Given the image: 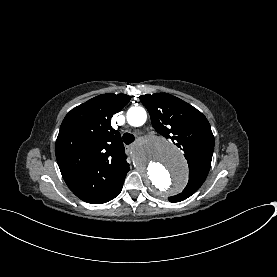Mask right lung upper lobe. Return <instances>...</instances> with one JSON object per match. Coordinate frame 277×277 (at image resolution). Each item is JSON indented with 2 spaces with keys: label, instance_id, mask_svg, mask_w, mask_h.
Returning <instances> with one entry per match:
<instances>
[{
  "label": "right lung upper lobe",
  "instance_id": "right-lung-upper-lobe-1",
  "mask_svg": "<svg viewBox=\"0 0 277 277\" xmlns=\"http://www.w3.org/2000/svg\"><path fill=\"white\" fill-rule=\"evenodd\" d=\"M130 99L125 94L99 95L72 109L61 124L56 159L70 190L85 202L97 203L110 196L129 171L111 117Z\"/></svg>",
  "mask_w": 277,
  "mask_h": 277
}]
</instances>
